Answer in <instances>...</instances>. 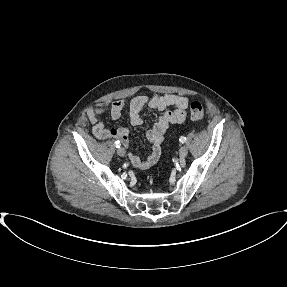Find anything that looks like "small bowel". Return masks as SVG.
<instances>
[{
    "label": "small bowel",
    "mask_w": 287,
    "mask_h": 287,
    "mask_svg": "<svg viewBox=\"0 0 287 287\" xmlns=\"http://www.w3.org/2000/svg\"><path fill=\"white\" fill-rule=\"evenodd\" d=\"M188 102L187 97L173 94H155L151 97L138 95L131 100L129 104V116L133 126L143 124L140 113L145 107L158 111H164L167 108L173 109L164 112L147 132V140L151 144L150 155L146 159H141L129 153V160L134 167L138 169H148L158 161L166 131L170 125L179 124L185 120ZM125 105L126 102L124 100H116L111 103H100L87 111V116L92 124V131L96 138L100 140L115 138L120 140L126 147L129 146L128 128H108L105 127L101 121V115L105 112H109L113 120L119 119Z\"/></svg>",
    "instance_id": "c3829d8e"
}]
</instances>
